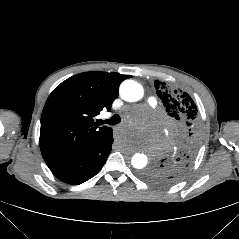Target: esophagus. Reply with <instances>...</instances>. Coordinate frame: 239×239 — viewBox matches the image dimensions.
<instances>
[{
  "label": "esophagus",
  "mask_w": 239,
  "mask_h": 239,
  "mask_svg": "<svg viewBox=\"0 0 239 239\" xmlns=\"http://www.w3.org/2000/svg\"><path fill=\"white\" fill-rule=\"evenodd\" d=\"M112 137H113L114 139H119V138L121 137V132H120L119 130H114V131L112 132Z\"/></svg>",
  "instance_id": "obj_1"
}]
</instances>
